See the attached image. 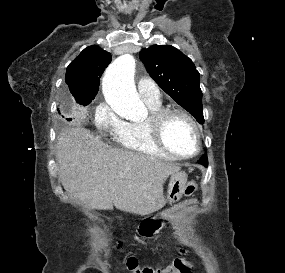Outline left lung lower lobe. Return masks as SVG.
Segmentation results:
<instances>
[{
	"label": "left lung lower lobe",
	"instance_id": "0a47b994",
	"mask_svg": "<svg viewBox=\"0 0 285 273\" xmlns=\"http://www.w3.org/2000/svg\"><path fill=\"white\" fill-rule=\"evenodd\" d=\"M198 163L204 165V166H207L208 165V160H207V157L204 155L201 157V159L198 161Z\"/></svg>",
	"mask_w": 285,
	"mask_h": 273
}]
</instances>
